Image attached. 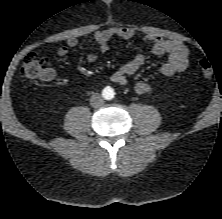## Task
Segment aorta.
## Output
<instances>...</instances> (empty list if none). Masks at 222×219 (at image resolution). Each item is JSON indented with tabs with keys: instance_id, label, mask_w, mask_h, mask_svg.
I'll return each instance as SVG.
<instances>
[{
	"instance_id": "aorta-1",
	"label": "aorta",
	"mask_w": 222,
	"mask_h": 219,
	"mask_svg": "<svg viewBox=\"0 0 222 219\" xmlns=\"http://www.w3.org/2000/svg\"><path fill=\"white\" fill-rule=\"evenodd\" d=\"M105 94L109 97H113V91L111 89H106Z\"/></svg>"
}]
</instances>
